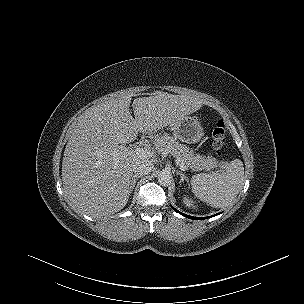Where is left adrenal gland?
I'll return each instance as SVG.
<instances>
[{"label":"left adrenal gland","mask_w":304,"mask_h":304,"mask_svg":"<svg viewBox=\"0 0 304 304\" xmlns=\"http://www.w3.org/2000/svg\"><path fill=\"white\" fill-rule=\"evenodd\" d=\"M176 174L180 176V184L184 183V181L189 182L188 177L183 172L177 170Z\"/></svg>","instance_id":"obj_1"}]
</instances>
